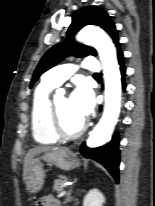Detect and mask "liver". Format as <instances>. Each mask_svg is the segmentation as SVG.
<instances>
[{
	"label": "liver",
	"instance_id": "6515ba94",
	"mask_svg": "<svg viewBox=\"0 0 155 206\" xmlns=\"http://www.w3.org/2000/svg\"><path fill=\"white\" fill-rule=\"evenodd\" d=\"M58 149L57 147H50V146H40V147H34L30 149L24 159V170H23V177L24 180L26 181L27 178V173L29 171V168L31 166L32 160L34 157L42 152H48L52 150Z\"/></svg>",
	"mask_w": 155,
	"mask_h": 206
}]
</instances>
